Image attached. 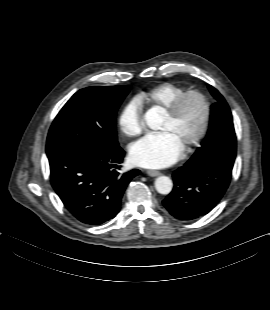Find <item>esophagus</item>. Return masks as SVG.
I'll return each instance as SVG.
<instances>
[{
    "mask_svg": "<svg viewBox=\"0 0 270 310\" xmlns=\"http://www.w3.org/2000/svg\"><path fill=\"white\" fill-rule=\"evenodd\" d=\"M146 173L150 177H157L160 175V172L155 170H148Z\"/></svg>",
    "mask_w": 270,
    "mask_h": 310,
    "instance_id": "1",
    "label": "esophagus"
}]
</instances>
